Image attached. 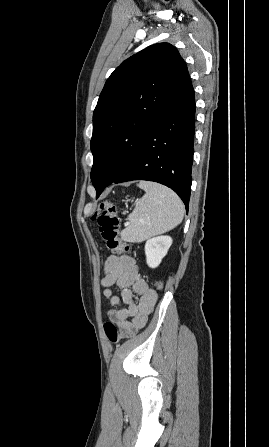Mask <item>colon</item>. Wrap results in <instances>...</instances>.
I'll return each instance as SVG.
<instances>
[{"label": "colon", "instance_id": "5ec220e1", "mask_svg": "<svg viewBox=\"0 0 269 447\" xmlns=\"http://www.w3.org/2000/svg\"><path fill=\"white\" fill-rule=\"evenodd\" d=\"M92 220L97 224L102 241L113 253L117 255H129L132 253L131 249L118 239L119 220L117 217V207L114 203L109 201L101 202L93 213ZM162 288L163 282L161 280L155 281V291L158 293ZM104 331L113 343L120 342V337L122 339L126 337L124 334L120 336L117 325L113 323H106L104 325Z\"/></svg>", "mask_w": 269, "mask_h": 447}]
</instances>
